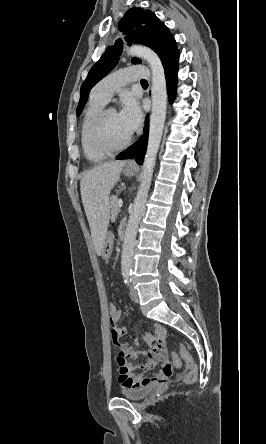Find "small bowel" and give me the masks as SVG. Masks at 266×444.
<instances>
[{
    "label": "small bowel",
    "instance_id": "obj_1",
    "mask_svg": "<svg viewBox=\"0 0 266 444\" xmlns=\"http://www.w3.org/2000/svg\"><path fill=\"white\" fill-rule=\"evenodd\" d=\"M121 317L122 310H118L116 316L110 319L112 341L118 348L117 364L121 387L136 388L167 383L172 376L173 367L167 358L166 332L163 327L157 325L153 334L146 333L141 337V341L149 347L141 351L119 341L127 333L126 328L119 325ZM139 356L143 358L142 362L137 365L129 362V359ZM156 367H159L157 372L147 375ZM136 369L140 372L135 373Z\"/></svg>",
    "mask_w": 266,
    "mask_h": 444
}]
</instances>
